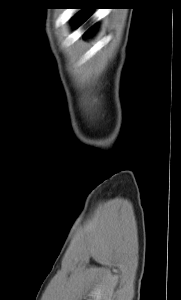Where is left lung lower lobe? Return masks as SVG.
I'll return each mask as SVG.
<instances>
[{
  "label": "left lung lower lobe",
  "instance_id": "0a47b994",
  "mask_svg": "<svg viewBox=\"0 0 181 300\" xmlns=\"http://www.w3.org/2000/svg\"><path fill=\"white\" fill-rule=\"evenodd\" d=\"M82 9H93V8H82ZM85 15H86V13L80 12V13L78 14V16L76 17V21H77V22L84 21V20H85Z\"/></svg>",
  "mask_w": 181,
  "mask_h": 300
}]
</instances>
